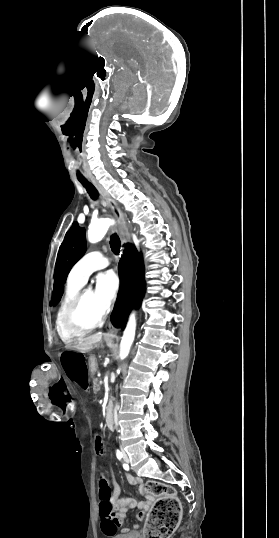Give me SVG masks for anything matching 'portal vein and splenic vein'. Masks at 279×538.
I'll return each instance as SVG.
<instances>
[{
	"mask_svg": "<svg viewBox=\"0 0 279 538\" xmlns=\"http://www.w3.org/2000/svg\"><path fill=\"white\" fill-rule=\"evenodd\" d=\"M100 385H103V380H99Z\"/></svg>",
	"mask_w": 279,
	"mask_h": 538,
	"instance_id": "portal-vein-and-splenic-vein-1",
	"label": "portal vein and splenic vein"
}]
</instances>
